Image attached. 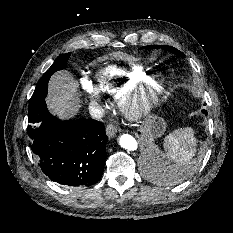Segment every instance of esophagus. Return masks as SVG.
Listing matches in <instances>:
<instances>
[{"mask_svg": "<svg viewBox=\"0 0 233 233\" xmlns=\"http://www.w3.org/2000/svg\"><path fill=\"white\" fill-rule=\"evenodd\" d=\"M117 126L113 123H109L106 126V134L109 138L113 137L117 133Z\"/></svg>", "mask_w": 233, "mask_h": 233, "instance_id": "1", "label": "esophagus"}]
</instances>
